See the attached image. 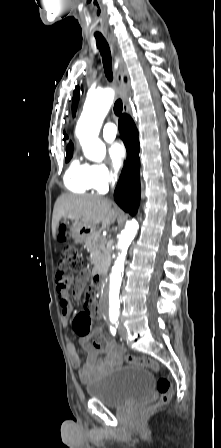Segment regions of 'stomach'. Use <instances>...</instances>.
Here are the masks:
<instances>
[{
	"label": "stomach",
	"mask_w": 221,
	"mask_h": 448,
	"mask_svg": "<svg viewBox=\"0 0 221 448\" xmlns=\"http://www.w3.org/2000/svg\"><path fill=\"white\" fill-rule=\"evenodd\" d=\"M94 226H84L81 221H75L71 225L72 237L77 243H83L91 236Z\"/></svg>",
	"instance_id": "0dacf381"
}]
</instances>
